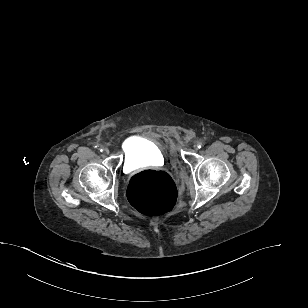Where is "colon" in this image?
Wrapping results in <instances>:
<instances>
[{
    "mask_svg": "<svg viewBox=\"0 0 308 308\" xmlns=\"http://www.w3.org/2000/svg\"><path fill=\"white\" fill-rule=\"evenodd\" d=\"M127 195L130 204L145 215H161L173 207L176 188L172 178L162 171H144L133 176Z\"/></svg>",
    "mask_w": 308,
    "mask_h": 308,
    "instance_id": "obj_1",
    "label": "colon"
}]
</instances>
